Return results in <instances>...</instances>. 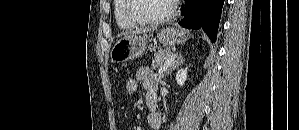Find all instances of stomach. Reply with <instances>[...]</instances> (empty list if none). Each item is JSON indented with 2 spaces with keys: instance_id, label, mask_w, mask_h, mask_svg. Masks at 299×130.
Masks as SVG:
<instances>
[{
  "instance_id": "1",
  "label": "stomach",
  "mask_w": 299,
  "mask_h": 130,
  "mask_svg": "<svg viewBox=\"0 0 299 130\" xmlns=\"http://www.w3.org/2000/svg\"><path fill=\"white\" fill-rule=\"evenodd\" d=\"M159 41L166 46H173L186 39V32L181 28H164L157 35ZM148 36L130 34L119 39L111 49L110 59L113 63H123L138 58L146 50Z\"/></svg>"
}]
</instances>
